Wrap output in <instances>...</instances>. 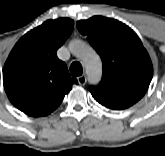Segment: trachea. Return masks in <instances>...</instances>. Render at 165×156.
<instances>
[{"instance_id":"1","label":"trachea","mask_w":165,"mask_h":156,"mask_svg":"<svg viewBox=\"0 0 165 156\" xmlns=\"http://www.w3.org/2000/svg\"><path fill=\"white\" fill-rule=\"evenodd\" d=\"M83 68L79 62H73L70 66V73L72 76H80L82 75Z\"/></svg>"}]
</instances>
